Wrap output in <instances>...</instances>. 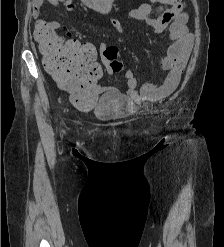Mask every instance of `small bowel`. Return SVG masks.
Returning <instances> with one entry per match:
<instances>
[{
    "label": "small bowel",
    "instance_id": "c3829d8e",
    "mask_svg": "<svg viewBox=\"0 0 224 247\" xmlns=\"http://www.w3.org/2000/svg\"><path fill=\"white\" fill-rule=\"evenodd\" d=\"M65 1L33 0V16L36 18V24H45L52 30L57 29L59 23L46 21L40 18V15L44 5L58 7L60 4H66ZM171 1L170 5L160 6L156 10L150 4L144 3L130 12L132 19L146 23L155 33H161L166 28H169V36L173 41L166 54L159 56L161 67L168 71L162 82L144 84L138 91L134 73L131 70L125 72L127 94L133 101L159 100L172 93L179 84L181 74L189 58L193 45V35L187 27L188 14L183 9L182 0ZM82 2L107 18L118 32H124V26L121 21L111 15L110 0H82ZM68 35L70 36V33ZM74 41L76 42V40ZM106 47V44H100L99 48L102 53ZM40 48L46 53L41 44Z\"/></svg>",
    "mask_w": 224,
    "mask_h": 247
}]
</instances>
